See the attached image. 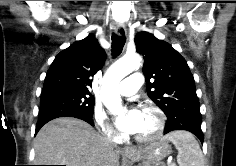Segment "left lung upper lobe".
<instances>
[{"instance_id":"left-lung-upper-lobe-1","label":"left lung upper lobe","mask_w":236,"mask_h":166,"mask_svg":"<svg viewBox=\"0 0 236 166\" xmlns=\"http://www.w3.org/2000/svg\"><path fill=\"white\" fill-rule=\"evenodd\" d=\"M135 44L136 51L144 56L148 96L167 117L199 102L188 64L170 44L148 32L138 33Z\"/></svg>"}]
</instances>
